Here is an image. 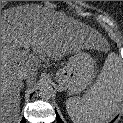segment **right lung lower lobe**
Listing matches in <instances>:
<instances>
[{"label":"right lung lower lobe","instance_id":"right-lung-lower-lobe-1","mask_svg":"<svg viewBox=\"0 0 123 123\" xmlns=\"http://www.w3.org/2000/svg\"><path fill=\"white\" fill-rule=\"evenodd\" d=\"M21 123H25L24 119L21 121Z\"/></svg>","mask_w":123,"mask_h":123}]
</instances>
